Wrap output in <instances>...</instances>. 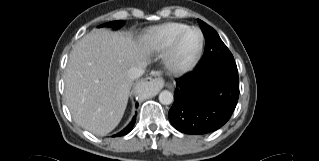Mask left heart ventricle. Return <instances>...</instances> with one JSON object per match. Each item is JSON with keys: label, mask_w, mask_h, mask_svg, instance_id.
I'll return each mask as SVG.
<instances>
[{"label": "left heart ventricle", "mask_w": 319, "mask_h": 161, "mask_svg": "<svg viewBox=\"0 0 319 161\" xmlns=\"http://www.w3.org/2000/svg\"><path fill=\"white\" fill-rule=\"evenodd\" d=\"M200 42V34L196 30L187 32L180 40L176 56L180 62L189 60L197 51Z\"/></svg>", "instance_id": "obj_1"}]
</instances>
